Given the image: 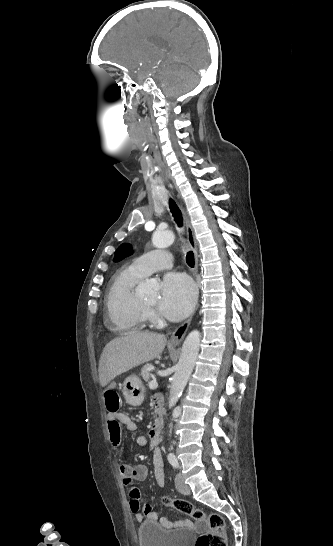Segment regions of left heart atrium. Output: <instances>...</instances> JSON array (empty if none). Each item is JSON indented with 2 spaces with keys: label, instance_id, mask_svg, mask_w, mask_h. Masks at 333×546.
Wrapping results in <instances>:
<instances>
[{
  "label": "left heart atrium",
  "instance_id": "39dd6f15",
  "mask_svg": "<svg viewBox=\"0 0 333 546\" xmlns=\"http://www.w3.org/2000/svg\"><path fill=\"white\" fill-rule=\"evenodd\" d=\"M196 291L193 282L183 273H168L162 282L159 311L166 318L177 321L193 309Z\"/></svg>",
  "mask_w": 333,
  "mask_h": 546
}]
</instances>
